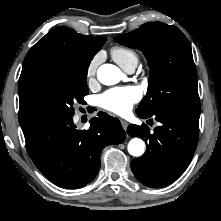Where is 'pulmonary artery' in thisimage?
<instances>
[{"label":"pulmonary artery","mask_w":221,"mask_h":221,"mask_svg":"<svg viewBox=\"0 0 221 221\" xmlns=\"http://www.w3.org/2000/svg\"><path fill=\"white\" fill-rule=\"evenodd\" d=\"M135 65H130V66H128L125 70L128 72V73H132L133 71H134V69H135Z\"/></svg>","instance_id":"obj_1"}]
</instances>
